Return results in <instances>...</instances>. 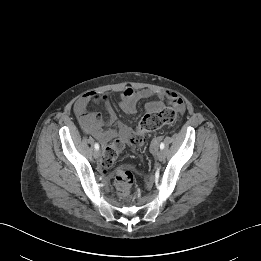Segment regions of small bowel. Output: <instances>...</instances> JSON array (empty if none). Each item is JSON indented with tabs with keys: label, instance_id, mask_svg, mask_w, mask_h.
Returning <instances> with one entry per match:
<instances>
[{
	"label": "small bowel",
	"instance_id": "obj_1",
	"mask_svg": "<svg viewBox=\"0 0 261 261\" xmlns=\"http://www.w3.org/2000/svg\"><path fill=\"white\" fill-rule=\"evenodd\" d=\"M155 96H158V99L145 105L146 112L162 109L165 102L172 104L179 111L184 110L182 98L173 91L157 93L148 89H133L131 87H125L121 90L119 106L124 113L133 114L141 100ZM91 102H102L107 116L103 117L96 112L88 111V105ZM74 108L83 129L102 143H107L117 137L126 139L132 134V130L128 126L118 121L113 107L105 95L88 92L78 98Z\"/></svg>",
	"mask_w": 261,
	"mask_h": 261
}]
</instances>
